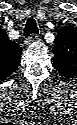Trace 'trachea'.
<instances>
[{"instance_id": "trachea-1", "label": "trachea", "mask_w": 77, "mask_h": 125, "mask_svg": "<svg viewBox=\"0 0 77 125\" xmlns=\"http://www.w3.org/2000/svg\"><path fill=\"white\" fill-rule=\"evenodd\" d=\"M32 34H38V27L36 21L33 17L28 18L27 23L24 28V36L28 37Z\"/></svg>"}]
</instances>
